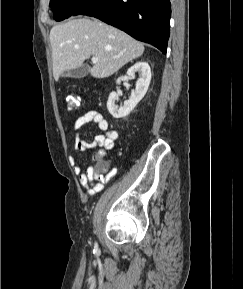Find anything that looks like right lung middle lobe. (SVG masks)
Wrapping results in <instances>:
<instances>
[{
  "mask_svg": "<svg viewBox=\"0 0 243 289\" xmlns=\"http://www.w3.org/2000/svg\"><path fill=\"white\" fill-rule=\"evenodd\" d=\"M85 1L86 0H51L50 7L54 12V19L61 21L69 18Z\"/></svg>",
  "mask_w": 243,
  "mask_h": 289,
  "instance_id": "right-lung-middle-lobe-1",
  "label": "right lung middle lobe"
}]
</instances>
